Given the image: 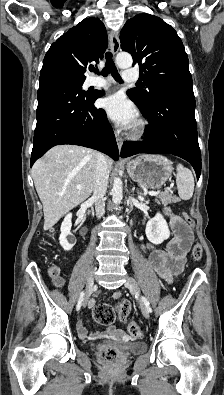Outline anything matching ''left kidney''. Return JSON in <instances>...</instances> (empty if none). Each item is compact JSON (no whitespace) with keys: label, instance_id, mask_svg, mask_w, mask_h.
<instances>
[{"label":"left kidney","instance_id":"1","mask_svg":"<svg viewBox=\"0 0 224 395\" xmlns=\"http://www.w3.org/2000/svg\"><path fill=\"white\" fill-rule=\"evenodd\" d=\"M145 233L147 239L153 244H161L170 236V230L164 217L157 213L156 216L146 224Z\"/></svg>","mask_w":224,"mask_h":395}]
</instances>
